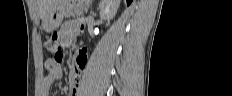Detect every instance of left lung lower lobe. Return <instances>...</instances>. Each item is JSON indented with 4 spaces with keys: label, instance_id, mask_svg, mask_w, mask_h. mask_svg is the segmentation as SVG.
<instances>
[{
    "label": "left lung lower lobe",
    "instance_id": "0a47b994",
    "mask_svg": "<svg viewBox=\"0 0 232 96\" xmlns=\"http://www.w3.org/2000/svg\"><path fill=\"white\" fill-rule=\"evenodd\" d=\"M132 0H127V4L129 5L131 3Z\"/></svg>",
    "mask_w": 232,
    "mask_h": 96
}]
</instances>
